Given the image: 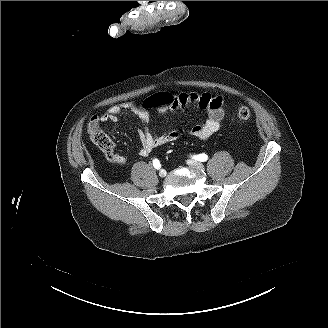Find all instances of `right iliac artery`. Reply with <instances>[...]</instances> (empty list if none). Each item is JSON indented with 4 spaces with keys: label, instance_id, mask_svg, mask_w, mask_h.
<instances>
[{
    "label": "right iliac artery",
    "instance_id": "right-iliac-artery-1",
    "mask_svg": "<svg viewBox=\"0 0 328 328\" xmlns=\"http://www.w3.org/2000/svg\"><path fill=\"white\" fill-rule=\"evenodd\" d=\"M153 166H154V168H156L157 170L161 168V164H160V162H159L158 159H154V160H153Z\"/></svg>",
    "mask_w": 328,
    "mask_h": 328
}]
</instances>
